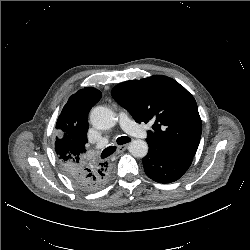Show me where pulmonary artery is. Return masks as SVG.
<instances>
[{"label":"pulmonary artery","mask_w":250,"mask_h":250,"mask_svg":"<svg viewBox=\"0 0 250 250\" xmlns=\"http://www.w3.org/2000/svg\"><path fill=\"white\" fill-rule=\"evenodd\" d=\"M119 121L124 131L127 133L138 137L145 138L147 136V131L133 120H131L126 113H121L119 115ZM107 139H103L99 145L106 143Z\"/></svg>","instance_id":"pulmonary-artery-1"}]
</instances>
